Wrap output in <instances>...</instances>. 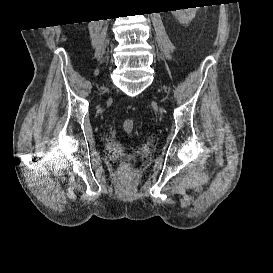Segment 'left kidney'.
I'll return each mask as SVG.
<instances>
[{
  "label": "left kidney",
  "mask_w": 273,
  "mask_h": 273,
  "mask_svg": "<svg viewBox=\"0 0 273 273\" xmlns=\"http://www.w3.org/2000/svg\"><path fill=\"white\" fill-rule=\"evenodd\" d=\"M196 9L197 8L173 10L172 14L180 23L188 24L195 18L197 11Z\"/></svg>",
  "instance_id": "left-kidney-1"
}]
</instances>
